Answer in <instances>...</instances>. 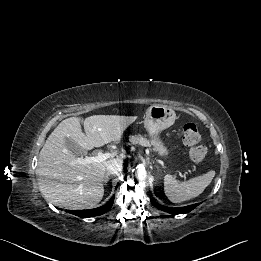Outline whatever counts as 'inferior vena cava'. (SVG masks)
<instances>
[{"instance_id": "obj_1", "label": "inferior vena cava", "mask_w": 261, "mask_h": 261, "mask_svg": "<svg viewBox=\"0 0 261 261\" xmlns=\"http://www.w3.org/2000/svg\"><path fill=\"white\" fill-rule=\"evenodd\" d=\"M123 161L121 159H116L109 163L106 167L107 174H117L122 171Z\"/></svg>"}]
</instances>
